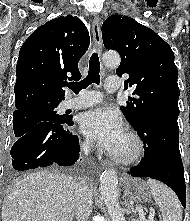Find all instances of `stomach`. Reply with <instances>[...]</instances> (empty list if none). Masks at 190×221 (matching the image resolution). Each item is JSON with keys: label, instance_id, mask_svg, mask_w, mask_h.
<instances>
[{"label": "stomach", "instance_id": "1", "mask_svg": "<svg viewBox=\"0 0 190 221\" xmlns=\"http://www.w3.org/2000/svg\"><path fill=\"white\" fill-rule=\"evenodd\" d=\"M124 194L135 202H149L151 191L146 182L141 178L127 177L122 180Z\"/></svg>", "mask_w": 190, "mask_h": 221}]
</instances>
